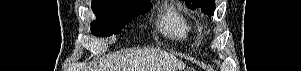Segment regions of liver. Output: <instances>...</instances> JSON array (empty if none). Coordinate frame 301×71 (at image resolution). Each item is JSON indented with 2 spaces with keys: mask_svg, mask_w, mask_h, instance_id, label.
I'll return each instance as SVG.
<instances>
[{
  "mask_svg": "<svg viewBox=\"0 0 301 71\" xmlns=\"http://www.w3.org/2000/svg\"><path fill=\"white\" fill-rule=\"evenodd\" d=\"M185 64L175 56L158 50H136L113 56L89 71H177Z\"/></svg>",
  "mask_w": 301,
  "mask_h": 71,
  "instance_id": "liver-1",
  "label": "liver"
}]
</instances>
